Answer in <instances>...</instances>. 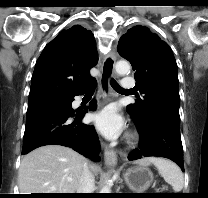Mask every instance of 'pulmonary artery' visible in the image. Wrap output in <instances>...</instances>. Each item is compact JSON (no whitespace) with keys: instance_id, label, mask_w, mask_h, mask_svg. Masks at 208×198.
<instances>
[{"instance_id":"pulmonary-artery-1","label":"pulmonary artery","mask_w":208,"mask_h":198,"mask_svg":"<svg viewBox=\"0 0 208 198\" xmlns=\"http://www.w3.org/2000/svg\"><path fill=\"white\" fill-rule=\"evenodd\" d=\"M134 86H135V82H134L133 78H131V77H125L122 80V87L124 89L129 90V89L133 88Z\"/></svg>"}]
</instances>
